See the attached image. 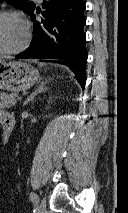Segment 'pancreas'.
Masks as SVG:
<instances>
[{
	"instance_id": "1",
	"label": "pancreas",
	"mask_w": 128,
	"mask_h": 213,
	"mask_svg": "<svg viewBox=\"0 0 128 213\" xmlns=\"http://www.w3.org/2000/svg\"><path fill=\"white\" fill-rule=\"evenodd\" d=\"M18 99L17 93H0V108H10L17 103Z\"/></svg>"
}]
</instances>
